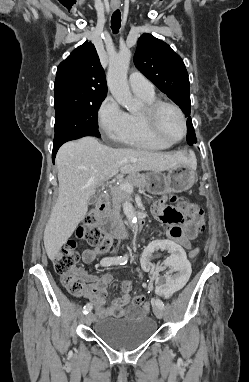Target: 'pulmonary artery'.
Masks as SVG:
<instances>
[{
    "label": "pulmonary artery",
    "mask_w": 249,
    "mask_h": 382,
    "mask_svg": "<svg viewBox=\"0 0 249 382\" xmlns=\"http://www.w3.org/2000/svg\"><path fill=\"white\" fill-rule=\"evenodd\" d=\"M129 84L134 93L150 95L154 93L153 85L150 81L138 72L129 75Z\"/></svg>",
    "instance_id": "e3ab8cb5"
}]
</instances>
